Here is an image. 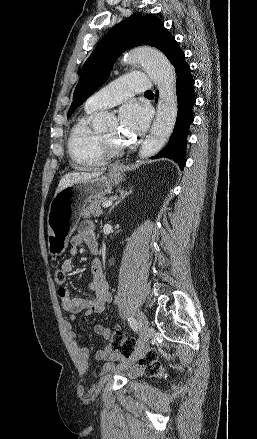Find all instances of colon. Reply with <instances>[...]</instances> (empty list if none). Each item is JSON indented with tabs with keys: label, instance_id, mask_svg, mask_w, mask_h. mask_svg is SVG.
<instances>
[{
	"label": "colon",
	"instance_id": "5ec220e1",
	"mask_svg": "<svg viewBox=\"0 0 257 439\" xmlns=\"http://www.w3.org/2000/svg\"><path fill=\"white\" fill-rule=\"evenodd\" d=\"M55 281L63 284L66 281V273L62 269L55 272ZM110 348L119 353L124 358H129L134 353L136 344L132 338L124 336L119 331H114L109 339ZM141 366L144 367L148 376H159L161 366L158 362L157 354L153 350H144L140 359Z\"/></svg>",
	"mask_w": 257,
	"mask_h": 439
}]
</instances>
